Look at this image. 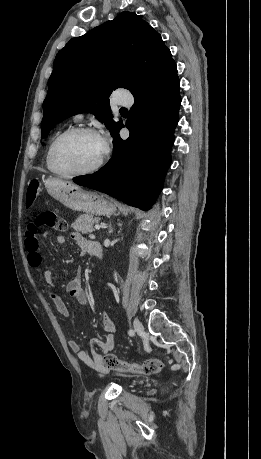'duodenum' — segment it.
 <instances>
[{
	"label": "duodenum",
	"mask_w": 261,
	"mask_h": 459,
	"mask_svg": "<svg viewBox=\"0 0 261 459\" xmlns=\"http://www.w3.org/2000/svg\"><path fill=\"white\" fill-rule=\"evenodd\" d=\"M91 253L99 259L103 258V247L99 242H92Z\"/></svg>",
	"instance_id": "410a0bca"
}]
</instances>
